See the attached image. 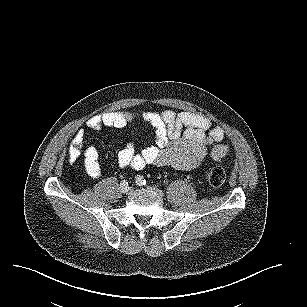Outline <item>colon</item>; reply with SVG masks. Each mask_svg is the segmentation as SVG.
Wrapping results in <instances>:
<instances>
[{
  "mask_svg": "<svg viewBox=\"0 0 307 307\" xmlns=\"http://www.w3.org/2000/svg\"><path fill=\"white\" fill-rule=\"evenodd\" d=\"M211 149H214V145H212ZM205 179L212 187H220L226 181V173L221 167H212L206 171Z\"/></svg>",
  "mask_w": 307,
  "mask_h": 307,
  "instance_id": "colon-1",
  "label": "colon"
}]
</instances>
